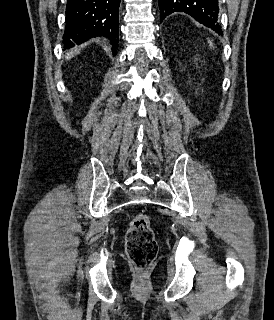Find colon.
<instances>
[{"label":"colon","instance_id":"colon-1","mask_svg":"<svg viewBox=\"0 0 274 320\" xmlns=\"http://www.w3.org/2000/svg\"><path fill=\"white\" fill-rule=\"evenodd\" d=\"M126 251L130 262L141 272L148 271L155 260L158 243L149 218L138 215L131 220L125 235Z\"/></svg>","mask_w":274,"mask_h":320}]
</instances>
